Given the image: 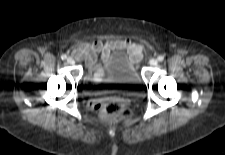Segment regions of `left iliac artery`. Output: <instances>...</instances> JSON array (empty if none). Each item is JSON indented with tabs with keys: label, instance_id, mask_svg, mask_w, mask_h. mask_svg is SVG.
Returning <instances> with one entry per match:
<instances>
[{
	"label": "left iliac artery",
	"instance_id": "44dca946",
	"mask_svg": "<svg viewBox=\"0 0 225 155\" xmlns=\"http://www.w3.org/2000/svg\"><path fill=\"white\" fill-rule=\"evenodd\" d=\"M157 59H158V61H163L164 60V57L160 55V56H158Z\"/></svg>",
	"mask_w": 225,
	"mask_h": 155
}]
</instances>
